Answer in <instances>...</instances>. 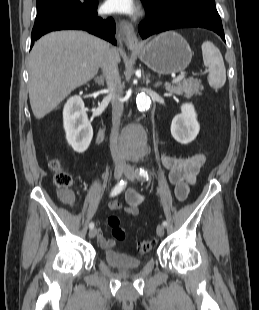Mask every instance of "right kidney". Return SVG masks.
<instances>
[{"instance_id": "right-kidney-1", "label": "right kidney", "mask_w": 259, "mask_h": 310, "mask_svg": "<svg viewBox=\"0 0 259 310\" xmlns=\"http://www.w3.org/2000/svg\"><path fill=\"white\" fill-rule=\"evenodd\" d=\"M64 130L68 144L77 153L87 150L93 137L84 102L75 95L68 99L63 109Z\"/></svg>"}]
</instances>
